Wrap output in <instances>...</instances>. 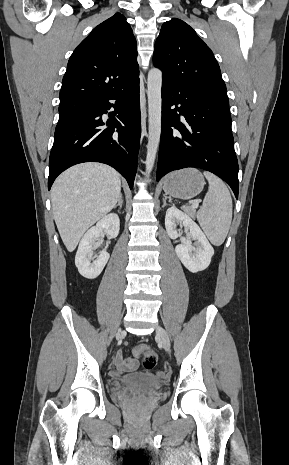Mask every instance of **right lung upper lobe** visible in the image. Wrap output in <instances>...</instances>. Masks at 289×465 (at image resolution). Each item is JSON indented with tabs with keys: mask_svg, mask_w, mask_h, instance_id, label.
<instances>
[{
	"mask_svg": "<svg viewBox=\"0 0 289 465\" xmlns=\"http://www.w3.org/2000/svg\"><path fill=\"white\" fill-rule=\"evenodd\" d=\"M137 43L124 15L105 20L71 55L59 94L60 105L92 101L139 76Z\"/></svg>",
	"mask_w": 289,
	"mask_h": 465,
	"instance_id": "1",
	"label": "right lung upper lobe"
}]
</instances>
